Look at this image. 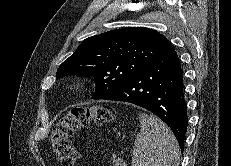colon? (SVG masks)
<instances>
[{"instance_id":"5ec220e1","label":"colon","mask_w":231,"mask_h":166,"mask_svg":"<svg viewBox=\"0 0 231 166\" xmlns=\"http://www.w3.org/2000/svg\"><path fill=\"white\" fill-rule=\"evenodd\" d=\"M114 118V110L109 105L75 107L64 114L54 125L51 135V148L62 166H75L77 154L71 143V137L80 128L91 122L107 123Z\"/></svg>"}]
</instances>
